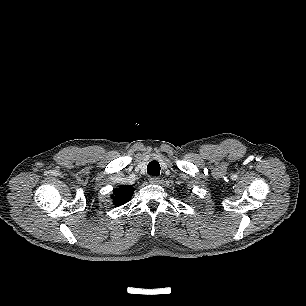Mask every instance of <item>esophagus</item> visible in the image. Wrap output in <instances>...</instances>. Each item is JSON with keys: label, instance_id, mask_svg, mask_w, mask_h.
<instances>
[{"label": "esophagus", "instance_id": "1", "mask_svg": "<svg viewBox=\"0 0 306 306\" xmlns=\"http://www.w3.org/2000/svg\"><path fill=\"white\" fill-rule=\"evenodd\" d=\"M159 181H160V179H159V177H157V176H151V177L149 178V182H150L151 184H158Z\"/></svg>", "mask_w": 306, "mask_h": 306}]
</instances>
